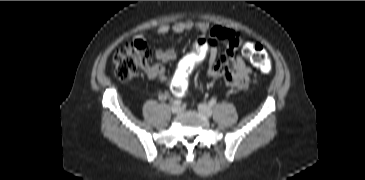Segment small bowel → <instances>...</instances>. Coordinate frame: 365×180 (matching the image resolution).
<instances>
[{
    "label": "small bowel",
    "instance_id": "c3829d8e",
    "mask_svg": "<svg viewBox=\"0 0 365 180\" xmlns=\"http://www.w3.org/2000/svg\"><path fill=\"white\" fill-rule=\"evenodd\" d=\"M192 30L198 31L201 36L195 52L183 58L173 73L167 72L162 65L148 64L143 68L147 76L170 81L173 85L186 71L191 70L199 62H205L208 78H223L229 87L239 91L246 90L251 82L252 69L237 53L242 43L238 31L225 26H211L201 21H186L162 25L157 29V33L159 35L180 34ZM220 44L226 46V53L222 56L219 55ZM153 54L158 61L163 63L171 62L176 58L175 51L170 48H156ZM158 98L166 99L167 93L160 92Z\"/></svg>",
    "mask_w": 365,
    "mask_h": 180
}]
</instances>
